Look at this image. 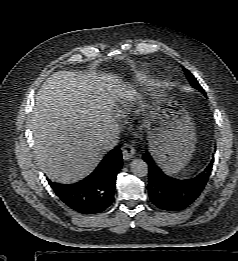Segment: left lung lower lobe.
<instances>
[{
    "instance_id": "1",
    "label": "left lung lower lobe",
    "mask_w": 238,
    "mask_h": 261,
    "mask_svg": "<svg viewBox=\"0 0 238 261\" xmlns=\"http://www.w3.org/2000/svg\"><path fill=\"white\" fill-rule=\"evenodd\" d=\"M149 168L148 193L151 202L162 210L179 211L189 206L204 189L213 168L210 163L194 177L176 178L169 176L147 151L143 154Z\"/></svg>"
}]
</instances>
